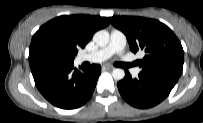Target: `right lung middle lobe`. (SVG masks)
I'll return each mask as SVG.
<instances>
[{"mask_svg": "<svg viewBox=\"0 0 203 123\" xmlns=\"http://www.w3.org/2000/svg\"><path fill=\"white\" fill-rule=\"evenodd\" d=\"M77 53L60 36L52 32L35 33L29 48V64L39 65L72 64Z\"/></svg>", "mask_w": 203, "mask_h": 123, "instance_id": "right-lung-middle-lobe-1", "label": "right lung middle lobe"}]
</instances>
